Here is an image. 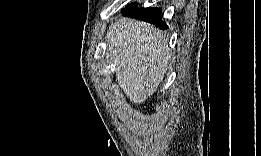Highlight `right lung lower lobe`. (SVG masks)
<instances>
[{
    "label": "right lung lower lobe",
    "instance_id": "obj_1",
    "mask_svg": "<svg viewBox=\"0 0 261 156\" xmlns=\"http://www.w3.org/2000/svg\"><path fill=\"white\" fill-rule=\"evenodd\" d=\"M122 14L140 18L160 29L168 28L165 21L161 20L162 12L158 8H138L136 3H132L122 11Z\"/></svg>",
    "mask_w": 261,
    "mask_h": 156
}]
</instances>
